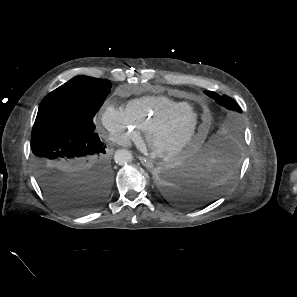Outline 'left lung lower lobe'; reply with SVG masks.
Returning <instances> with one entry per match:
<instances>
[{
    "mask_svg": "<svg viewBox=\"0 0 297 297\" xmlns=\"http://www.w3.org/2000/svg\"><path fill=\"white\" fill-rule=\"evenodd\" d=\"M236 156L234 146L214 138L207 146L189 152L157 172L155 179L163 196L172 203L187 208L205 205L231 185L230 166Z\"/></svg>",
    "mask_w": 297,
    "mask_h": 297,
    "instance_id": "left-lung-lower-lobe-1",
    "label": "left lung lower lobe"
}]
</instances>
